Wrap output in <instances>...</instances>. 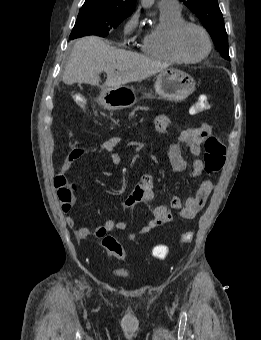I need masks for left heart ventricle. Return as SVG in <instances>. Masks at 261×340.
<instances>
[{
	"mask_svg": "<svg viewBox=\"0 0 261 340\" xmlns=\"http://www.w3.org/2000/svg\"><path fill=\"white\" fill-rule=\"evenodd\" d=\"M179 47L188 58H198L207 49V42L203 33L195 27H187L179 39Z\"/></svg>",
	"mask_w": 261,
	"mask_h": 340,
	"instance_id": "obj_1",
	"label": "left heart ventricle"
}]
</instances>
